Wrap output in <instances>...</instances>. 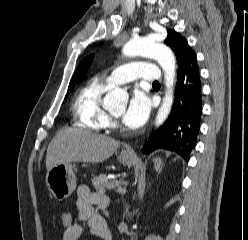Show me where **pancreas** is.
Wrapping results in <instances>:
<instances>
[{
  "label": "pancreas",
  "instance_id": "obj_1",
  "mask_svg": "<svg viewBox=\"0 0 248 240\" xmlns=\"http://www.w3.org/2000/svg\"><path fill=\"white\" fill-rule=\"evenodd\" d=\"M92 184L95 187L96 190L99 192H105L107 188H109L111 185L114 187H118L117 192L123 194L125 192V189L121 188V182L118 185L114 184V181L111 182L107 179L106 174H100L97 177H94L92 179Z\"/></svg>",
  "mask_w": 248,
  "mask_h": 240
}]
</instances>
